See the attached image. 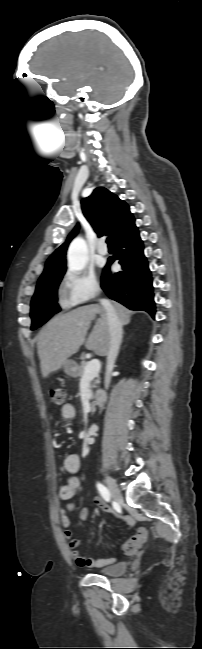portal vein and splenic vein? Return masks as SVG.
I'll list each match as a JSON object with an SVG mask.
<instances>
[{
    "label": "portal vein and splenic vein",
    "instance_id": "portal-vein-and-splenic-vein-1",
    "mask_svg": "<svg viewBox=\"0 0 202 649\" xmlns=\"http://www.w3.org/2000/svg\"><path fill=\"white\" fill-rule=\"evenodd\" d=\"M101 364L99 360L93 359L90 362L87 363V365L84 368V374L82 377V380H92L94 377H96L100 371Z\"/></svg>",
    "mask_w": 202,
    "mask_h": 649
}]
</instances>
